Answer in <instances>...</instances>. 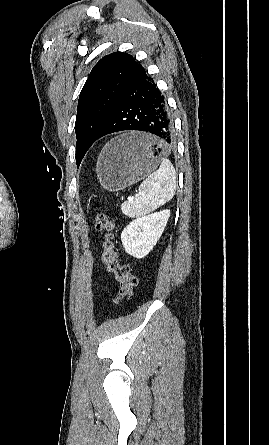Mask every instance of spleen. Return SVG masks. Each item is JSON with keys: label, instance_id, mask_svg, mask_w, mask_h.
I'll return each instance as SVG.
<instances>
[{"label": "spleen", "instance_id": "spleen-1", "mask_svg": "<svg viewBox=\"0 0 269 445\" xmlns=\"http://www.w3.org/2000/svg\"><path fill=\"white\" fill-rule=\"evenodd\" d=\"M175 190V169L168 159L163 158L160 168L141 183L134 198L122 203V213L131 218L142 217L170 201Z\"/></svg>", "mask_w": 269, "mask_h": 445}]
</instances>
